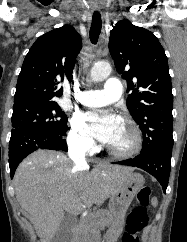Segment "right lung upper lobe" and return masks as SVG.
Returning a JSON list of instances; mask_svg holds the SVG:
<instances>
[{
	"instance_id": "1",
	"label": "right lung upper lobe",
	"mask_w": 187,
	"mask_h": 242,
	"mask_svg": "<svg viewBox=\"0 0 187 242\" xmlns=\"http://www.w3.org/2000/svg\"><path fill=\"white\" fill-rule=\"evenodd\" d=\"M81 47L80 35L70 26L54 29L39 37L24 59L14 106L53 103L61 97L63 87L59 84L64 79L72 81L74 63Z\"/></svg>"
}]
</instances>
